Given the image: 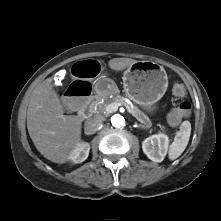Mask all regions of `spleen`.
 I'll use <instances>...</instances> for the list:
<instances>
[{
  "instance_id": "3e777b00",
  "label": "spleen",
  "mask_w": 221,
  "mask_h": 221,
  "mask_svg": "<svg viewBox=\"0 0 221 221\" xmlns=\"http://www.w3.org/2000/svg\"><path fill=\"white\" fill-rule=\"evenodd\" d=\"M191 134V124L189 121H184L180 125V130L176 133L174 141L170 145L169 159H177L186 149Z\"/></svg>"
}]
</instances>
